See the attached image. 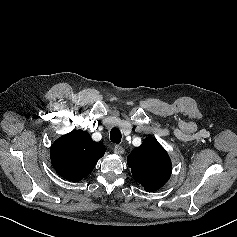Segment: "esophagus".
<instances>
[{
	"instance_id": "esophagus-1",
	"label": "esophagus",
	"mask_w": 237,
	"mask_h": 237,
	"mask_svg": "<svg viewBox=\"0 0 237 237\" xmlns=\"http://www.w3.org/2000/svg\"><path fill=\"white\" fill-rule=\"evenodd\" d=\"M124 148L121 146V145H118V144H116L115 146H114V152L116 153V154H123L124 153Z\"/></svg>"
}]
</instances>
